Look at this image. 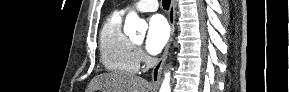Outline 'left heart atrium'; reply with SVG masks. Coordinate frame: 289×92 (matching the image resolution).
<instances>
[{
	"label": "left heart atrium",
	"instance_id": "1",
	"mask_svg": "<svg viewBox=\"0 0 289 92\" xmlns=\"http://www.w3.org/2000/svg\"><path fill=\"white\" fill-rule=\"evenodd\" d=\"M170 30L166 19L161 15H154L149 19L145 41L146 50L150 54H158L169 38Z\"/></svg>",
	"mask_w": 289,
	"mask_h": 92
}]
</instances>
